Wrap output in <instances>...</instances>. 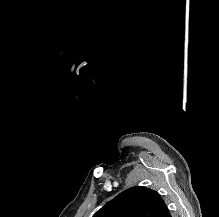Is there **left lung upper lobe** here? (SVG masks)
Returning a JSON list of instances; mask_svg holds the SVG:
<instances>
[{
    "instance_id": "5c2ea615",
    "label": "left lung upper lobe",
    "mask_w": 219,
    "mask_h": 217,
    "mask_svg": "<svg viewBox=\"0 0 219 217\" xmlns=\"http://www.w3.org/2000/svg\"><path fill=\"white\" fill-rule=\"evenodd\" d=\"M93 217H171V215L164 200L156 191L135 186L107 202Z\"/></svg>"
}]
</instances>
